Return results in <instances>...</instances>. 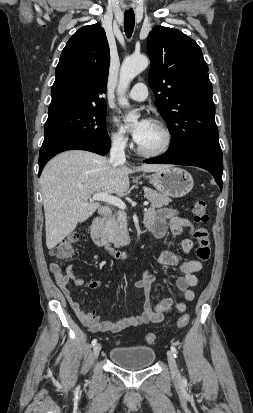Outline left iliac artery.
I'll list each match as a JSON object with an SVG mask.
<instances>
[{
	"label": "left iliac artery",
	"instance_id": "obj_1",
	"mask_svg": "<svg viewBox=\"0 0 253 413\" xmlns=\"http://www.w3.org/2000/svg\"><path fill=\"white\" fill-rule=\"evenodd\" d=\"M171 351L173 352L174 356L176 357L177 356V349L174 346H172Z\"/></svg>",
	"mask_w": 253,
	"mask_h": 413
}]
</instances>
